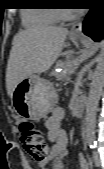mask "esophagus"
I'll return each mask as SVG.
<instances>
[{
  "mask_svg": "<svg viewBox=\"0 0 104 169\" xmlns=\"http://www.w3.org/2000/svg\"><path fill=\"white\" fill-rule=\"evenodd\" d=\"M82 33V22L75 23L70 31V34L73 36H79Z\"/></svg>",
  "mask_w": 104,
  "mask_h": 169,
  "instance_id": "esophagus-1",
  "label": "esophagus"
}]
</instances>
